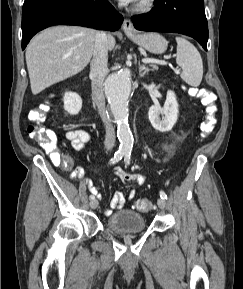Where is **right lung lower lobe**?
Returning <instances> with one entry per match:
<instances>
[{"label":"right lung lower lobe","instance_id":"1","mask_svg":"<svg viewBox=\"0 0 243 289\" xmlns=\"http://www.w3.org/2000/svg\"><path fill=\"white\" fill-rule=\"evenodd\" d=\"M123 17L108 0H25L22 49L40 30L53 25H79L115 31Z\"/></svg>","mask_w":243,"mask_h":289}]
</instances>
